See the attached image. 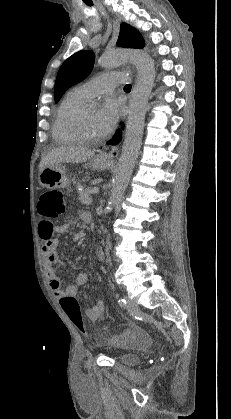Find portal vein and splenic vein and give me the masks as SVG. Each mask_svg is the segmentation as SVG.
Masks as SVG:
<instances>
[{
	"label": "portal vein and splenic vein",
	"mask_w": 231,
	"mask_h": 419,
	"mask_svg": "<svg viewBox=\"0 0 231 419\" xmlns=\"http://www.w3.org/2000/svg\"><path fill=\"white\" fill-rule=\"evenodd\" d=\"M98 191H99L98 188L97 187H94V188L91 189L90 193L91 194H97Z\"/></svg>",
	"instance_id": "portal-vein-and-splenic-vein-1"
}]
</instances>
